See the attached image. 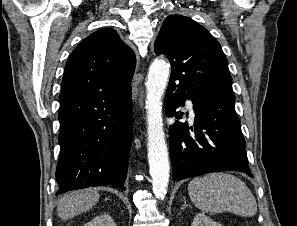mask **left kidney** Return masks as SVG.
Listing matches in <instances>:
<instances>
[{
  "instance_id": "5707ae66",
  "label": "left kidney",
  "mask_w": 297,
  "mask_h": 226,
  "mask_svg": "<svg viewBox=\"0 0 297 226\" xmlns=\"http://www.w3.org/2000/svg\"><path fill=\"white\" fill-rule=\"evenodd\" d=\"M191 226H222V225L220 223L213 221L212 219L207 217L204 213H199L194 217Z\"/></svg>"
}]
</instances>
